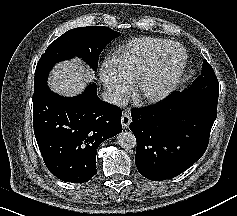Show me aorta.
<instances>
[{
    "instance_id": "aorta-1",
    "label": "aorta",
    "mask_w": 237,
    "mask_h": 216,
    "mask_svg": "<svg viewBox=\"0 0 237 216\" xmlns=\"http://www.w3.org/2000/svg\"><path fill=\"white\" fill-rule=\"evenodd\" d=\"M117 138L119 146L125 150H130L137 147L136 136L130 131H122L118 134Z\"/></svg>"
}]
</instances>
